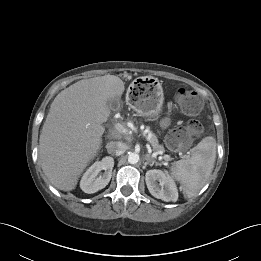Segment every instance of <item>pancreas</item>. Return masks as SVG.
I'll use <instances>...</instances> for the list:
<instances>
[{"mask_svg":"<svg viewBox=\"0 0 261 261\" xmlns=\"http://www.w3.org/2000/svg\"><path fill=\"white\" fill-rule=\"evenodd\" d=\"M147 138L149 139V142H150L154 152H164L165 151L164 146L159 144L158 139L154 133L149 132ZM163 159L166 161H169L170 156H169V158H167L166 156H163Z\"/></svg>","mask_w":261,"mask_h":261,"instance_id":"1","label":"pancreas"}]
</instances>
